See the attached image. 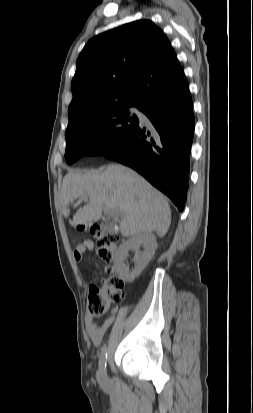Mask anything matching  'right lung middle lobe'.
I'll list each match as a JSON object with an SVG mask.
<instances>
[{
  "mask_svg": "<svg viewBox=\"0 0 253 413\" xmlns=\"http://www.w3.org/2000/svg\"><path fill=\"white\" fill-rule=\"evenodd\" d=\"M130 107H107L69 121L66 130L67 163L72 164L82 156L103 155L136 129L139 119L130 115Z\"/></svg>",
  "mask_w": 253,
  "mask_h": 413,
  "instance_id": "1",
  "label": "right lung middle lobe"
}]
</instances>
